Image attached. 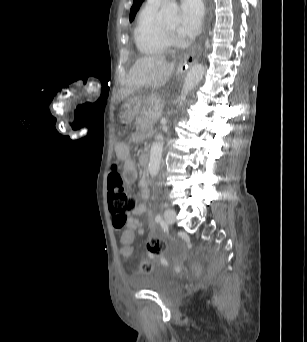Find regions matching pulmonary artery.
Segmentation results:
<instances>
[{"mask_svg":"<svg viewBox=\"0 0 307 342\" xmlns=\"http://www.w3.org/2000/svg\"><path fill=\"white\" fill-rule=\"evenodd\" d=\"M165 2L167 1H147V7L149 10L157 11Z\"/></svg>","mask_w":307,"mask_h":342,"instance_id":"1","label":"pulmonary artery"}]
</instances>
